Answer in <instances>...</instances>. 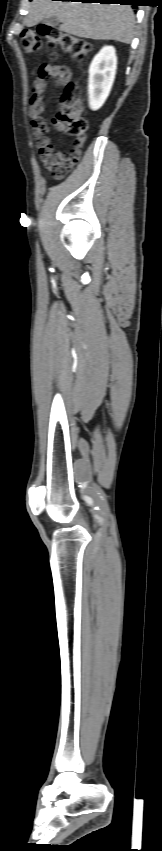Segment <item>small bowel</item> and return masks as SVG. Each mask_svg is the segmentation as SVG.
Returning <instances> with one entry per match:
<instances>
[{
	"mask_svg": "<svg viewBox=\"0 0 162 851\" xmlns=\"http://www.w3.org/2000/svg\"><path fill=\"white\" fill-rule=\"evenodd\" d=\"M49 78L53 79L56 85L63 86L70 81L71 72L66 66L42 64L39 68V76L33 83V93L30 99L29 114L32 118V136L36 140L39 158L46 169L54 171L67 160L69 154L56 149L51 138L47 136L49 127L42 114L45 111L43 96ZM54 125L56 129L63 131L57 120L54 121Z\"/></svg>",
	"mask_w": 162,
	"mask_h": 851,
	"instance_id": "small-bowel-1",
	"label": "small bowel"
}]
</instances>
